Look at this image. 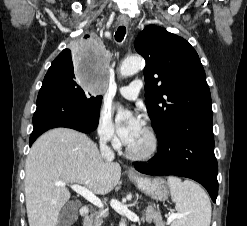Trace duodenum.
Returning a JSON list of instances; mask_svg holds the SVG:
<instances>
[{"mask_svg": "<svg viewBox=\"0 0 247 226\" xmlns=\"http://www.w3.org/2000/svg\"><path fill=\"white\" fill-rule=\"evenodd\" d=\"M80 215L84 220L87 219L90 215V209L88 207H82L80 209Z\"/></svg>", "mask_w": 247, "mask_h": 226, "instance_id": "1", "label": "duodenum"}]
</instances>
